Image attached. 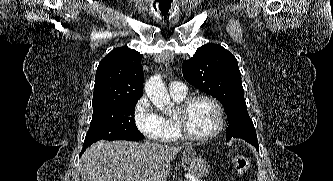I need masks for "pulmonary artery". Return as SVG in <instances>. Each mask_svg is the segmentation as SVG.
I'll return each mask as SVG.
<instances>
[{"mask_svg":"<svg viewBox=\"0 0 333 181\" xmlns=\"http://www.w3.org/2000/svg\"><path fill=\"white\" fill-rule=\"evenodd\" d=\"M169 91L173 96H185L187 93V87L180 81H173L170 83Z\"/></svg>","mask_w":333,"mask_h":181,"instance_id":"pulmonary-artery-1","label":"pulmonary artery"}]
</instances>
